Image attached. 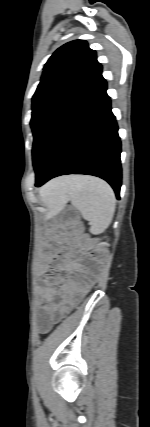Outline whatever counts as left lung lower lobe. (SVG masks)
<instances>
[{
  "mask_svg": "<svg viewBox=\"0 0 150 427\" xmlns=\"http://www.w3.org/2000/svg\"><path fill=\"white\" fill-rule=\"evenodd\" d=\"M106 81L100 75L34 133L36 187L64 174L106 180L120 199L121 143Z\"/></svg>",
  "mask_w": 150,
  "mask_h": 427,
  "instance_id": "left-lung-lower-lobe-1",
  "label": "left lung lower lobe"
}]
</instances>
